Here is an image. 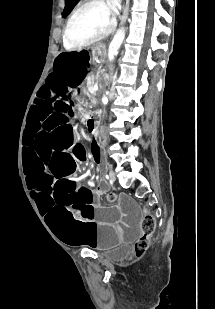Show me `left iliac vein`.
<instances>
[{"label": "left iliac vein", "mask_w": 215, "mask_h": 309, "mask_svg": "<svg viewBox=\"0 0 215 309\" xmlns=\"http://www.w3.org/2000/svg\"><path fill=\"white\" fill-rule=\"evenodd\" d=\"M109 179L111 182H114L116 180V175L115 172L113 170L110 171L109 173Z\"/></svg>", "instance_id": "1"}]
</instances>
